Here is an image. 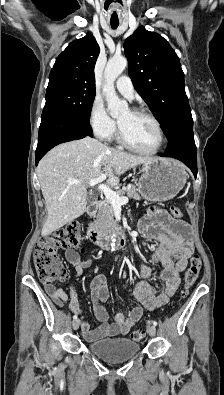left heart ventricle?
Returning <instances> with one entry per match:
<instances>
[{
    "instance_id": "left-heart-ventricle-1",
    "label": "left heart ventricle",
    "mask_w": 224,
    "mask_h": 395,
    "mask_svg": "<svg viewBox=\"0 0 224 395\" xmlns=\"http://www.w3.org/2000/svg\"><path fill=\"white\" fill-rule=\"evenodd\" d=\"M124 135L136 147L151 150L158 144L159 136L155 124L146 116L122 112L117 118Z\"/></svg>"
}]
</instances>
